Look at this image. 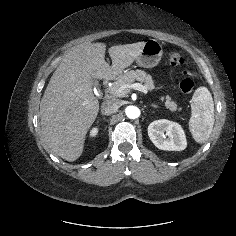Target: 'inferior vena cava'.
Returning a JSON list of instances; mask_svg holds the SVG:
<instances>
[{
  "label": "inferior vena cava",
  "instance_id": "obj_1",
  "mask_svg": "<svg viewBox=\"0 0 236 236\" xmlns=\"http://www.w3.org/2000/svg\"><path fill=\"white\" fill-rule=\"evenodd\" d=\"M120 107V102L116 99H108L104 101L101 105V112L103 115H111Z\"/></svg>",
  "mask_w": 236,
  "mask_h": 236
}]
</instances>
